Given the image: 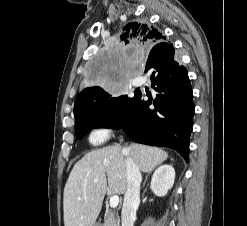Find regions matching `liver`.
<instances>
[{"mask_svg": "<svg viewBox=\"0 0 247 226\" xmlns=\"http://www.w3.org/2000/svg\"><path fill=\"white\" fill-rule=\"evenodd\" d=\"M124 150L145 173L151 172L168 157V153L160 148L140 144L126 148L115 144L90 151L74 165L65 185L64 226H94L105 194L111 196L126 192Z\"/></svg>", "mask_w": 247, "mask_h": 226, "instance_id": "obj_1", "label": "liver"}]
</instances>
